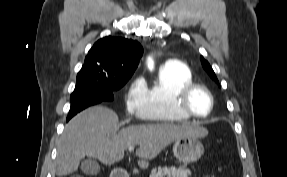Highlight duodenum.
I'll list each match as a JSON object with an SVG mask.
<instances>
[{"label": "duodenum", "instance_id": "obj_1", "mask_svg": "<svg viewBox=\"0 0 287 177\" xmlns=\"http://www.w3.org/2000/svg\"><path fill=\"white\" fill-rule=\"evenodd\" d=\"M111 177H129L122 168H117L113 171Z\"/></svg>", "mask_w": 287, "mask_h": 177}]
</instances>
